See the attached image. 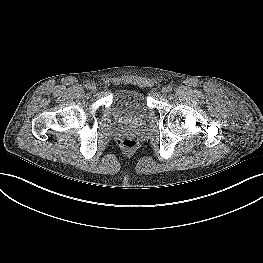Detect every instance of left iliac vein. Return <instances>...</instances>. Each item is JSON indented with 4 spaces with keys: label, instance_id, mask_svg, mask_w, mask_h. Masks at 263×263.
Listing matches in <instances>:
<instances>
[{
    "label": "left iliac vein",
    "instance_id": "obj_1",
    "mask_svg": "<svg viewBox=\"0 0 263 263\" xmlns=\"http://www.w3.org/2000/svg\"><path fill=\"white\" fill-rule=\"evenodd\" d=\"M168 92H169V91H168L167 87H163V88H162V93H163V95H166Z\"/></svg>",
    "mask_w": 263,
    "mask_h": 263
}]
</instances>
